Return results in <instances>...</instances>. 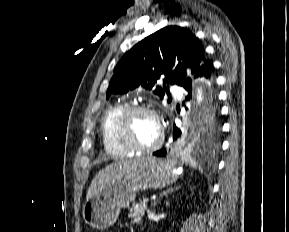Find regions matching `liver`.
Returning <instances> with one entry per match:
<instances>
[{
	"label": "liver",
	"instance_id": "1",
	"mask_svg": "<svg viewBox=\"0 0 289 232\" xmlns=\"http://www.w3.org/2000/svg\"><path fill=\"white\" fill-rule=\"evenodd\" d=\"M144 161L145 159H130L105 167L93 178L86 194V200L90 199L94 194L101 191L115 179L130 173Z\"/></svg>",
	"mask_w": 289,
	"mask_h": 232
}]
</instances>
